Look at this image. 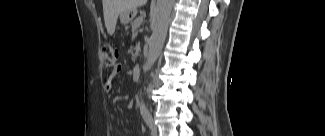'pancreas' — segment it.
<instances>
[{
    "instance_id": "pancreas-1",
    "label": "pancreas",
    "mask_w": 325,
    "mask_h": 136,
    "mask_svg": "<svg viewBox=\"0 0 325 136\" xmlns=\"http://www.w3.org/2000/svg\"><path fill=\"white\" fill-rule=\"evenodd\" d=\"M129 22H130V23H129V26H131V27L133 26V27H134V19H133V18L130 19ZM133 36L136 37V36H137V32H134V33H133Z\"/></svg>"
}]
</instances>
